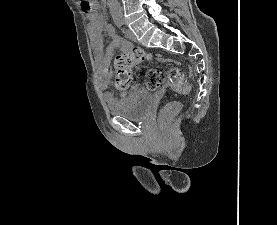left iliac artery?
<instances>
[{
    "label": "left iliac artery",
    "mask_w": 277,
    "mask_h": 225,
    "mask_svg": "<svg viewBox=\"0 0 277 225\" xmlns=\"http://www.w3.org/2000/svg\"><path fill=\"white\" fill-rule=\"evenodd\" d=\"M120 22H122V24H123V20H120Z\"/></svg>",
    "instance_id": "1"
}]
</instances>
